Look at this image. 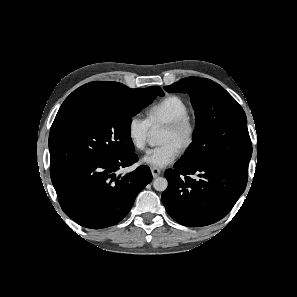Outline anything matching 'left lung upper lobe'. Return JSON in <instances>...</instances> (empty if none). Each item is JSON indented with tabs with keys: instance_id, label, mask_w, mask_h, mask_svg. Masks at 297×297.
Segmentation results:
<instances>
[{
	"instance_id": "1",
	"label": "left lung upper lobe",
	"mask_w": 297,
	"mask_h": 297,
	"mask_svg": "<svg viewBox=\"0 0 297 297\" xmlns=\"http://www.w3.org/2000/svg\"><path fill=\"white\" fill-rule=\"evenodd\" d=\"M164 89L188 93L195 110L193 143L178 163L219 164L248 174L252 145L245 112L237 101L216 82L200 77H187Z\"/></svg>"
}]
</instances>
